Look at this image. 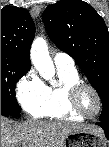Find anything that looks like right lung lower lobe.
Here are the masks:
<instances>
[{"label": "right lung lower lobe", "instance_id": "obj_1", "mask_svg": "<svg viewBox=\"0 0 109 147\" xmlns=\"http://www.w3.org/2000/svg\"><path fill=\"white\" fill-rule=\"evenodd\" d=\"M1 115L10 117V116H8L5 112H3L2 110H1Z\"/></svg>", "mask_w": 109, "mask_h": 147}]
</instances>
